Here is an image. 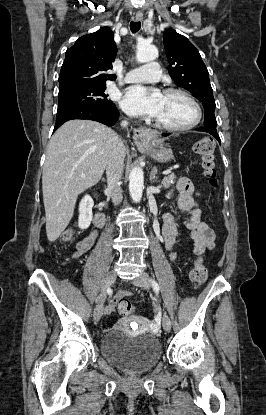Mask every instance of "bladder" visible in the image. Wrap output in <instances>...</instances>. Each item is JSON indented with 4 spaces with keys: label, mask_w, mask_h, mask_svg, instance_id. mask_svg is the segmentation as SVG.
<instances>
[{
    "label": "bladder",
    "mask_w": 266,
    "mask_h": 415,
    "mask_svg": "<svg viewBox=\"0 0 266 415\" xmlns=\"http://www.w3.org/2000/svg\"><path fill=\"white\" fill-rule=\"evenodd\" d=\"M101 353L112 364L131 374L150 370L160 360L162 347L152 334L130 337L110 330L101 341Z\"/></svg>",
    "instance_id": "31cf9c89"
}]
</instances>
